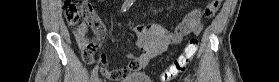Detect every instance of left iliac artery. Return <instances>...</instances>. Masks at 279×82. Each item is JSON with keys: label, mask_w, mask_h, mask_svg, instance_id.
<instances>
[{"label": "left iliac artery", "mask_w": 279, "mask_h": 82, "mask_svg": "<svg viewBox=\"0 0 279 82\" xmlns=\"http://www.w3.org/2000/svg\"><path fill=\"white\" fill-rule=\"evenodd\" d=\"M185 82H190V80L188 78H185Z\"/></svg>", "instance_id": "44dca946"}]
</instances>
